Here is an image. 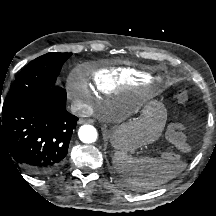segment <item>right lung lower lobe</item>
Listing matches in <instances>:
<instances>
[{
  "label": "right lung lower lobe",
  "mask_w": 216,
  "mask_h": 216,
  "mask_svg": "<svg viewBox=\"0 0 216 216\" xmlns=\"http://www.w3.org/2000/svg\"><path fill=\"white\" fill-rule=\"evenodd\" d=\"M77 120L66 110L64 89L54 86L32 94L2 110L0 156L33 176L54 175L65 161Z\"/></svg>",
  "instance_id": "obj_1"
}]
</instances>
